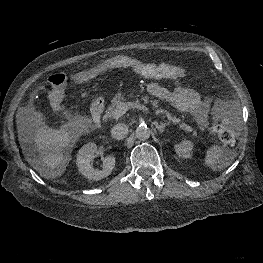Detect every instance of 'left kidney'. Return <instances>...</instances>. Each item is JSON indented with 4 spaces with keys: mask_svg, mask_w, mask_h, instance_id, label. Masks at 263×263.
<instances>
[{
    "mask_svg": "<svg viewBox=\"0 0 263 263\" xmlns=\"http://www.w3.org/2000/svg\"><path fill=\"white\" fill-rule=\"evenodd\" d=\"M193 149V144L189 140H184L175 145V151L179 157L190 158Z\"/></svg>",
    "mask_w": 263,
    "mask_h": 263,
    "instance_id": "1",
    "label": "left kidney"
}]
</instances>
